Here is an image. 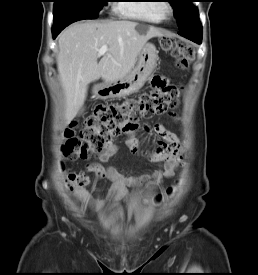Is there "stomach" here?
<instances>
[{
  "mask_svg": "<svg viewBox=\"0 0 258 275\" xmlns=\"http://www.w3.org/2000/svg\"><path fill=\"white\" fill-rule=\"evenodd\" d=\"M157 59L158 51L156 47L152 43H146L142 47L136 66L123 78L96 84L93 87L94 97L106 100L137 92L154 71Z\"/></svg>",
  "mask_w": 258,
  "mask_h": 275,
  "instance_id": "1",
  "label": "stomach"
}]
</instances>
